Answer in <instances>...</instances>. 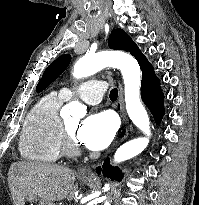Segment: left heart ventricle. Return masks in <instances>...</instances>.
Instances as JSON below:
<instances>
[{
	"mask_svg": "<svg viewBox=\"0 0 199 205\" xmlns=\"http://www.w3.org/2000/svg\"><path fill=\"white\" fill-rule=\"evenodd\" d=\"M66 127L69 131V133L75 137L78 125H79V120L78 119H69L65 121Z\"/></svg>",
	"mask_w": 199,
	"mask_h": 205,
	"instance_id": "b2bd125f",
	"label": "left heart ventricle"
}]
</instances>
